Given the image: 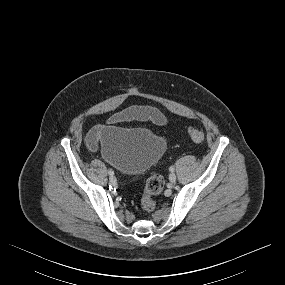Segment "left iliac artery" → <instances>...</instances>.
<instances>
[{
  "label": "left iliac artery",
  "instance_id": "obj_1",
  "mask_svg": "<svg viewBox=\"0 0 285 285\" xmlns=\"http://www.w3.org/2000/svg\"><path fill=\"white\" fill-rule=\"evenodd\" d=\"M169 170H170L171 172H173V171H174V167L171 166V167L169 168Z\"/></svg>",
  "mask_w": 285,
  "mask_h": 285
}]
</instances>
